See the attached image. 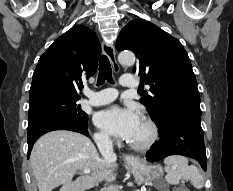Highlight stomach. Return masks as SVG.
I'll use <instances>...</instances> for the list:
<instances>
[{"mask_svg": "<svg viewBox=\"0 0 233 191\" xmlns=\"http://www.w3.org/2000/svg\"><path fill=\"white\" fill-rule=\"evenodd\" d=\"M131 172L137 184H144L163 176V170L160 165H147L139 160L131 162Z\"/></svg>", "mask_w": 233, "mask_h": 191, "instance_id": "1", "label": "stomach"}]
</instances>
